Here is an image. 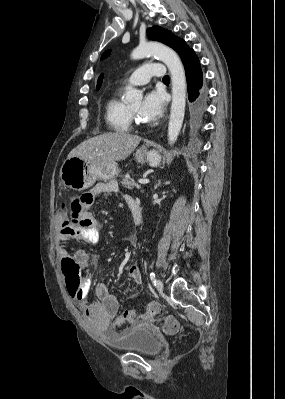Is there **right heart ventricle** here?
Returning a JSON list of instances; mask_svg holds the SVG:
<instances>
[{"mask_svg": "<svg viewBox=\"0 0 285 399\" xmlns=\"http://www.w3.org/2000/svg\"><path fill=\"white\" fill-rule=\"evenodd\" d=\"M105 119L108 127L115 132H128L131 129L129 107L119 98V93L110 95L105 103Z\"/></svg>", "mask_w": 285, "mask_h": 399, "instance_id": "right-heart-ventricle-1", "label": "right heart ventricle"}]
</instances>
